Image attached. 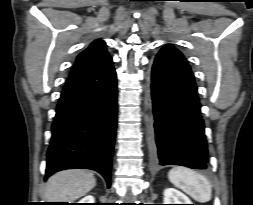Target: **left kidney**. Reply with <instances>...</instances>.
<instances>
[{"mask_svg": "<svg viewBox=\"0 0 253 205\" xmlns=\"http://www.w3.org/2000/svg\"><path fill=\"white\" fill-rule=\"evenodd\" d=\"M164 204H192L191 200L175 188L164 190Z\"/></svg>", "mask_w": 253, "mask_h": 205, "instance_id": "left-kidney-1", "label": "left kidney"}]
</instances>
